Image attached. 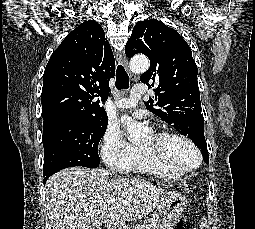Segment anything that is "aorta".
<instances>
[{
    "instance_id": "aorta-1",
    "label": "aorta",
    "mask_w": 255,
    "mask_h": 229,
    "mask_svg": "<svg viewBox=\"0 0 255 229\" xmlns=\"http://www.w3.org/2000/svg\"><path fill=\"white\" fill-rule=\"evenodd\" d=\"M129 68L134 73H143L149 68V60L145 56H136L130 60ZM121 121L128 131V140L137 142L141 140L143 129L133 118L128 115L121 116Z\"/></svg>"
}]
</instances>
